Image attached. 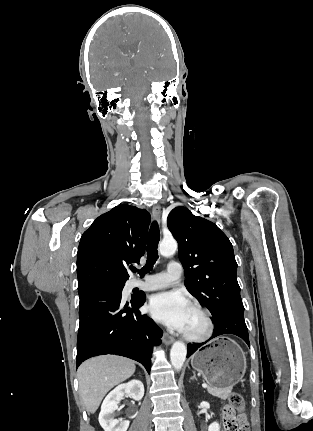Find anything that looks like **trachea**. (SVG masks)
<instances>
[{"label":"trachea","instance_id":"1","mask_svg":"<svg viewBox=\"0 0 313 431\" xmlns=\"http://www.w3.org/2000/svg\"><path fill=\"white\" fill-rule=\"evenodd\" d=\"M160 240V230L158 223L154 221L150 227L148 241H147V262L146 265L138 270V273L141 277H143L146 273H148L153 265L156 263L158 259V243ZM132 271L135 272L136 268H132Z\"/></svg>","mask_w":313,"mask_h":431}]
</instances>
